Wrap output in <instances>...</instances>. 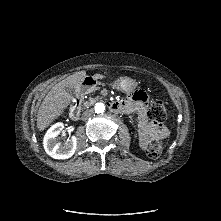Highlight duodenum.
I'll list each match as a JSON object with an SVG mask.
<instances>
[{
	"mask_svg": "<svg viewBox=\"0 0 221 221\" xmlns=\"http://www.w3.org/2000/svg\"><path fill=\"white\" fill-rule=\"evenodd\" d=\"M92 85L93 81L91 79H86L81 82L79 88L77 89L75 100L73 101L70 109V117L73 120H77L80 117L84 94ZM110 111L112 113L126 112V106L120 101L113 102L110 104Z\"/></svg>",
	"mask_w": 221,
	"mask_h": 221,
	"instance_id": "410a0bca",
	"label": "duodenum"
}]
</instances>
